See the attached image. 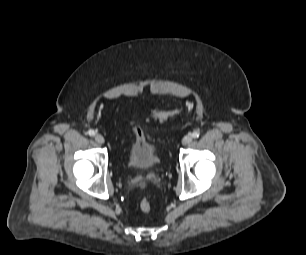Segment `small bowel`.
I'll use <instances>...</instances> for the list:
<instances>
[{"instance_id": "obj_1", "label": "small bowel", "mask_w": 306, "mask_h": 255, "mask_svg": "<svg viewBox=\"0 0 306 255\" xmlns=\"http://www.w3.org/2000/svg\"><path fill=\"white\" fill-rule=\"evenodd\" d=\"M135 134H136L137 139H142L143 138V134L139 129L136 130Z\"/></svg>"}]
</instances>
